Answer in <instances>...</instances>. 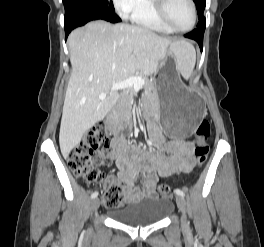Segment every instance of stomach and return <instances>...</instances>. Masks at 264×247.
Listing matches in <instances>:
<instances>
[{"label":"stomach","instance_id":"obj_1","mask_svg":"<svg viewBox=\"0 0 264 247\" xmlns=\"http://www.w3.org/2000/svg\"><path fill=\"white\" fill-rule=\"evenodd\" d=\"M170 50L173 51L172 47ZM162 61L175 62L176 58L163 57ZM177 75V63H162L155 85L162 128L170 141L194 136L197 124L204 118L205 94H191L183 82H178Z\"/></svg>","mask_w":264,"mask_h":247}]
</instances>
